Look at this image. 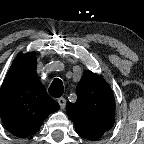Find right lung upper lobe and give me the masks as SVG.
Returning <instances> with one entry per match:
<instances>
[{
    "label": "right lung upper lobe",
    "mask_w": 144,
    "mask_h": 144,
    "mask_svg": "<svg viewBox=\"0 0 144 144\" xmlns=\"http://www.w3.org/2000/svg\"><path fill=\"white\" fill-rule=\"evenodd\" d=\"M59 108L38 80L35 54L16 59L0 90V115L8 131L21 138L35 134Z\"/></svg>",
    "instance_id": "1"
}]
</instances>
